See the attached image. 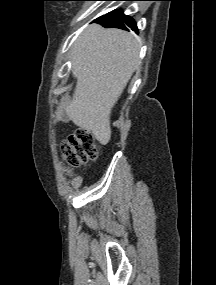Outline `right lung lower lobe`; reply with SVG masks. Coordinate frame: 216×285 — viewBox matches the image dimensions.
Here are the masks:
<instances>
[{"label":"right lung lower lobe","mask_w":216,"mask_h":285,"mask_svg":"<svg viewBox=\"0 0 216 285\" xmlns=\"http://www.w3.org/2000/svg\"><path fill=\"white\" fill-rule=\"evenodd\" d=\"M94 22H97L104 27L120 28L127 31L128 27H130L133 31L138 33L135 21L131 17L126 16L123 13L121 14L118 10L107 13L97 18Z\"/></svg>","instance_id":"obj_1"}]
</instances>
